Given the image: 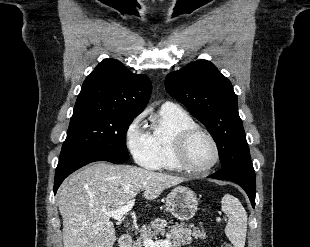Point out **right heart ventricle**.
<instances>
[{"label": "right heart ventricle", "instance_id": "obj_1", "mask_svg": "<svg viewBox=\"0 0 310 247\" xmlns=\"http://www.w3.org/2000/svg\"><path fill=\"white\" fill-rule=\"evenodd\" d=\"M197 126L180 107H161L149 133L155 164L150 169L180 170L175 156L176 137L183 129Z\"/></svg>", "mask_w": 310, "mask_h": 247}]
</instances>
